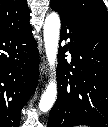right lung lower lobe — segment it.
<instances>
[{"label":"right lung lower lobe","mask_w":108,"mask_h":127,"mask_svg":"<svg viewBox=\"0 0 108 127\" xmlns=\"http://www.w3.org/2000/svg\"><path fill=\"white\" fill-rule=\"evenodd\" d=\"M36 46L31 25L0 35V127H19L20 111L37 85Z\"/></svg>","instance_id":"obj_1"}]
</instances>
